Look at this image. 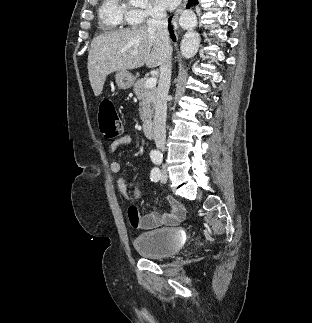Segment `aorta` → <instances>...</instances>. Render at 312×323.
I'll list each match as a JSON object with an SVG mask.
<instances>
[{
  "mask_svg": "<svg viewBox=\"0 0 312 323\" xmlns=\"http://www.w3.org/2000/svg\"><path fill=\"white\" fill-rule=\"evenodd\" d=\"M200 46V36L194 30H188L183 40H181V54L188 60V58H194L196 56Z\"/></svg>",
  "mask_w": 312,
  "mask_h": 323,
  "instance_id": "obj_1",
  "label": "aorta"
}]
</instances>
